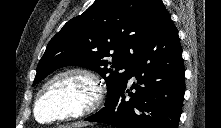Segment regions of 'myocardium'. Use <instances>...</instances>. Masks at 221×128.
<instances>
[{
	"label": "myocardium",
	"instance_id": "1",
	"mask_svg": "<svg viewBox=\"0 0 221 128\" xmlns=\"http://www.w3.org/2000/svg\"><path fill=\"white\" fill-rule=\"evenodd\" d=\"M73 77L79 81H82L86 85L87 95L83 100L81 106L77 109H68L64 112L58 113L47 120H41L38 117V107L45 97L46 93L50 87L57 81L66 78ZM104 97V87L99 76L86 67L74 66L63 69L56 74L52 75L47 81L42 85L41 89L38 91L34 105H33V114L35 119L44 125H51L57 122L67 121L71 119H76L83 117L92 111L96 110Z\"/></svg>",
	"mask_w": 221,
	"mask_h": 128
}]
</instances>
